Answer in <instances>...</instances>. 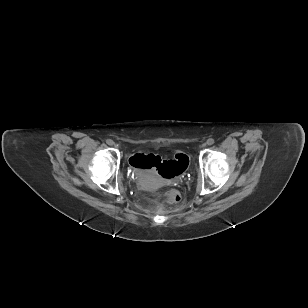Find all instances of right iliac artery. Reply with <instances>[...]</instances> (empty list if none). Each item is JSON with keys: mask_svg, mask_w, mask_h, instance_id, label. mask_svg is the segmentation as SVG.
Segmentation results:
<instances>
[{"mask_svg": "<svg viewBox=\"0 0 308 308\" xmlns=\"http://www.w3.org/2000/svg\"><path fill=\"white\" fill-rule=\"evenodd\" d=\"M106 143H107L108 145H111V144L113 143V141H112L111 139H108V140H106Z\"/></svg>", "mask_w": 308, "mask_h": 308, "instance_id": "82829eb1", "label": "right iliac artery"}]
</instances>
